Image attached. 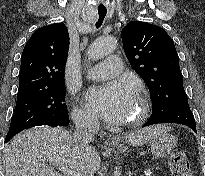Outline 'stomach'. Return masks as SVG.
Returning <instances> with one entry per match:
<instances>
[{
  "mask_svg": "<svg viewBox=\"0 0 205 176\" xmlns=\"http://www.w3.org/2000/svg\"><path fill=\"white\" fill-rule=\"evenodd\" d=\"M165 126H158L153 136L147 142L154 157L162 158L168 155L176 145V139L173 135L164 129Z\"/></svg>",
  "mask_w": 205,
  "mask_h": 176,
  "instance_id": "0dacf381",
  "label": "stomach"
}]
</instances>
